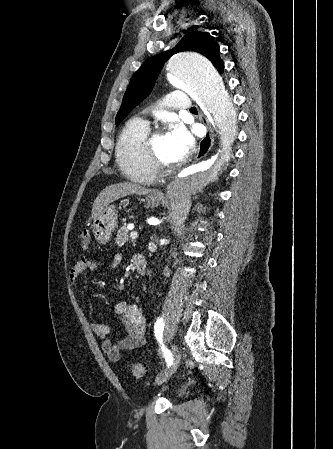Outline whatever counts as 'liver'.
I'll use <instances>...</instances> for the list:
<instances>
[{
    "label": "liver",
    "instance_id": "6515ba94",
    "mask_svg": "<svg viewBox=\"0 0 333 449\" xmlns=\"http://www.w3.org/2000/svg\"><path fill=\"white\" fill-rule=\"evenodd\" d=\"M150 192L136 183L121 182L107 186L94 201L92 207V218L94 219L108 204L128 195H146Z\"/></svg>",
    "mask_w": 333,
    "mask_h": 449
}]
</instances>
